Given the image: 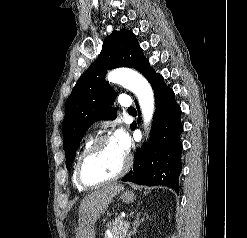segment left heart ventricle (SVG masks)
<instances>
[{
    "label": "left heart ventricle",
    "mask_w": 247,
    "mask_h": 238,
    "mask_svg": "<svg viewBox=\"0 0 247 238\" xmlns=\"http://www.w3.org/2000/svg\"><path fill=\"white\" fill-rule=\"evenodd\" d=\"M126 155L111 140L103 143L87 160L83 173L88 181H97L116 174L123 167Z\"/></svg>",
    "instance_id": "b2bd125f"
}]
</instances>
